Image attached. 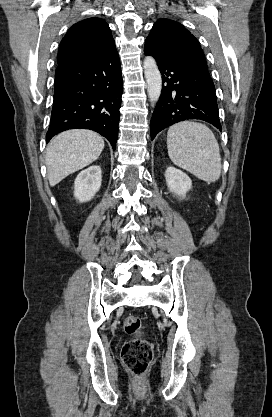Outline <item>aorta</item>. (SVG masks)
<instances>
[{"label": "aorta", "instance_id": "1", "mask_svg": "<svg viewBox=\"0 0 272 417\" xmlns=\"http://www.w3.org/2000/svg\"><path fill=\"white\" fill-rule=\"evenodd\" d=\"M144 74L147 82L148 97L151 102L158 101L161 89L162 78L155 59L147 56L143 63Z\"/></svg>", "mask_w": 272, "mask_h": 417}]
</instances>
